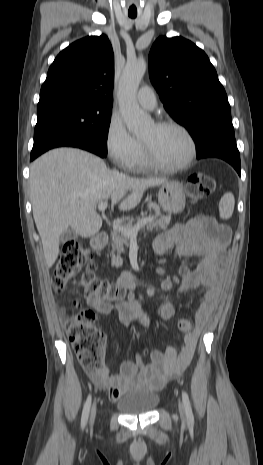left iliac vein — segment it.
Segmentation results:
<instances>
[{"mask_svg":"<svg viewBox=\"0 0 263 465\" xmlns=\"http://www.w3.org/2000/svg\"><path fill=\"white\" fill-rule=\"evenodd\" d=\"M179 414L183 421H186L185 409L181 401L178 402Z\"/></svg>","mask_w":263,"mask_h":465,"instance_id":"4c4485c4","label":"left iliac vein"}]
</instances>
